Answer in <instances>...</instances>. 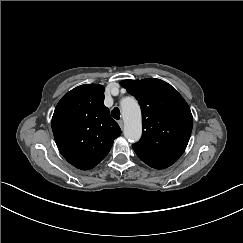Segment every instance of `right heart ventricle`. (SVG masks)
Returning <instances> with one entry per match:
<instances>
[{
    "instance_id": "right-heart-ventricle-1",
    "label": "right heart ventricle",
    "mask_w": 243,
    "mask_h": 243,
    "mask_svg": "<svg viewBox=\"0 0 243 243\" xmlns=\"http://www.w3.org/2000/svg\"><path fill=\"white\" fill-rule=\"evenodd\" d=\"M130 100H131V98H127V99H126V100H124V101L126 102V101H130Z\"/></svg>"
}]
</instances>
